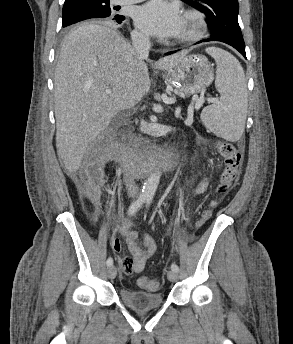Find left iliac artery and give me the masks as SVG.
Returning a JSON list of instances; mask_svg holds the SVG:
<instances>
[{
	"mask_svg": "<svg viewBox=\"0 0 293 344\" xmlns=\"http://www.w3.org/2000/svg\"><path fill=\"white\" fill-rule=\"evenodd\" d=\"M151 201H152V197L149 196V197L147 198V200H146L147 205H149ZM171 269H172L173 271H176V272L179 271V267H178V265H177L176 263H172V264H171Z\"/></svg>",
	"mask_w": 293,
	"mask_h": 344,
	"instance_id": "left-iliac-artery-1",
	"label": "left iliac artery"
}]
</instances>
